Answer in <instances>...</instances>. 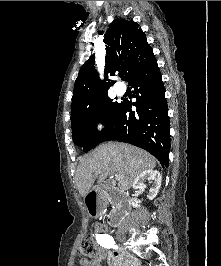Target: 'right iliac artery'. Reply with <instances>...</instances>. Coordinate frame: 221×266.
<instances>
[{"label": "right iliac artery", "mask_w": 221, "mask_h": 266, "mask_svg": "<svg viewBox=\"0 0 221 266\" xmlns=\"http://www.w3.org/2000/svg\"><path fill=\"white\" fill-rule=\"evenodd\" d=\"M97 242L105 248H114L117 249L118 246L115 245V241L112 236L108 234H101L99 237L96 238Z\"/></svg>", "instance_id": "right-iliac-artery-1"}]
</instances>
